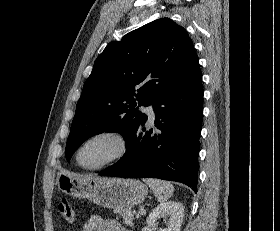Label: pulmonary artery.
Returning <instances> with one entry per match:
<instances>
[{
	"label": "pulmonary artery",
	"mask_w": 280,
	"mask_h": 231,
	"mask_svg": "<svg viewBox=\"0 0 280 231\" xmlns=\"http://www.w3.org/2000/svg\"><path fill=\"white\" fill-rule=\"evenodd\" d=\"M150 105H151V104H150ZM143 111H144L145 113H155L154 110H143ZM154 119H155V118H148V121L152 123V122H154Z\"/></svg>",
	"instance_id": "obj_1"
}]
</instances>
